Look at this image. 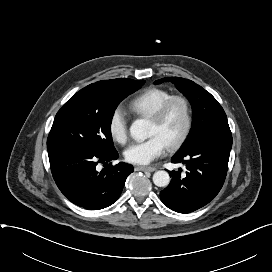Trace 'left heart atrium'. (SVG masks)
<instances>
[{"label":"left heart atrium","instance_id":"39dd6f15","mask_svg":"<svg viewBox=\"0 0 272 272\" xmlns=\"http://www.w3.org/2000/svg\"><path fill=\"white\" fill-rule=\"evenodd\" d=\"M168 145L157 134L150 136L147 140L133 143L125 152V159L132 164H149L161 156Z\"/></svg>","mask_w":272,"mask_h":272}]
</instances>
